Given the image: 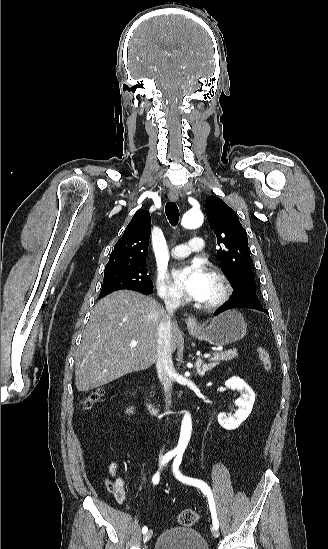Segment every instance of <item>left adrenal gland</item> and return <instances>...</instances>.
Listing matches in <instances>:
<instances>
[{"label":"left adrenal gland","mask_w":328,"mask_h":549,"mask_svg":"<svg viewBox=\"0 0 328 549\" xmlns=\"http://www.w3.org/2000/svg\"><path fill=\"white\" fill-rule=\"evenodd\" d=\"M196 367L199 375H205L206 371H211L213 369L212 365H201L199 361H196Z\"/></svg>","instance_id":"a2214340"}]
</instances>
